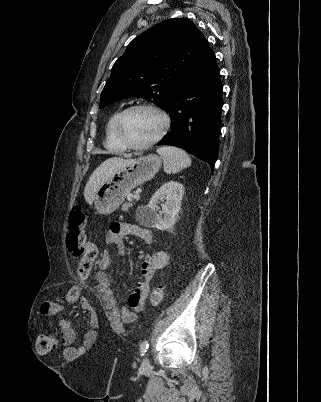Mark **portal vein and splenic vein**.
<instances>
[{
  "label": "portal vein and splenic vein",
  "mask_w": 321,
  "mask_h": 402,
  "mask_svg": "<svg viewBox=\"0 0 321 402\" xmlns=\"http://www.w3.org/2000/svg\"><path fill=\"white\" fill-rule=\"evenodd\" d=\"M139 198H140L139 193H135V194H134V199H137V200H138Z\"/></svg>",
  "instance_id": "obj_1"
}]
</instances>
